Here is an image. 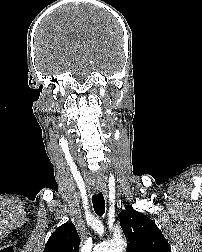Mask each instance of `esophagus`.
Here are the masks:
<instances>
[{
  "mask_svg": "<svg viewBox=\"0 0 202 252\" xmlns=\"http://www.w3.org/2000/svg\"><path fill=\"white\" fill-rule=\"evenodd\" d=\"M101 189L99 187L94 188L95 192H99Z\"/></svg>",
  "mask_w": 202,
  "mask_h": 252,
  "instance_id": "obj_1",
  "label": "esophagus"
}]
</instances>
